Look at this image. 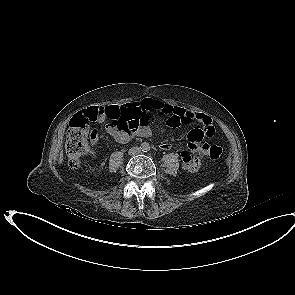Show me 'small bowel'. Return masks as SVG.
I'll return each mask as SVG.
<instances>
[{
    "mask_svg": "<svg viewBox=\"0 0 295 295\" xmlns=\"http://www.w3.org/2000/svg\"><path fill=\"white\" fill-rule=\"evenodd\" d=\"M121 111L130 120L138 121L139 125L135 129H120L115 121L111 120L106 124V132L117 142L127 143L134 137H149L152 131L148 125L149 113L155 112L157 115L166 117L167 125L171 128L179 127L182 124H191L195 121L202 125V128H194L188 133L189 149L181 153L183 167L189 170H197L201 167V159L209 151V144L202 143L204 139H211L215 136V128L211 118L201 112L191 111L179 106H174L159 100L146 98L141 101L130 102L120 107H98L93 106L85 109L80 115L85 116L89 121L103 123L107 119L106 113ZM91 143L98 142L99 134L96 130L91 134ZM171 143L162 141L160 148L168 150ZM95 156L93 149L88 150Z\"/></svg>",
    "mask_w": 295,
    "mask_h": 295,
    "instance_id": "1",
    "label": "small bowel"
}]
</instances>
